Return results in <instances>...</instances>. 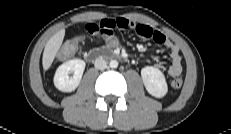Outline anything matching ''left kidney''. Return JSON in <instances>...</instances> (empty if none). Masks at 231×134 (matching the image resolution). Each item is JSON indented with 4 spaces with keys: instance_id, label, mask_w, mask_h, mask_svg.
I'll use <instances>...</instances> for the list:
<instances>
[{
    "instance_id": "obj_1",
    "label": "left kidney",
    "mask_w": 231,
    "mask_h": 134,
    "mask_svg": "<svg viewBox=\"0 0 231 134\" xmlns=\"http://www.w3.org/2000/svg\"><path fill=\"white\" fill-rule=\"evenodd\" d=\"M144 86L149 94L156 98L164 97L168 92V86L164 74L156 67L146 66L141 70Z\"/></svg>"
}]
</instances>
